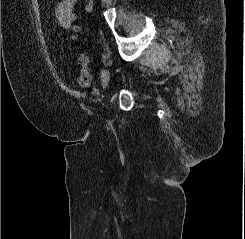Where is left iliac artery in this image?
Segmentation results:
<instances>
[{"label": "left iliac artery", "mask_w": 245, "mask_h": 239, "mask_svg": "<svg viewBox=\"0 0 245 239\" xmlns=\"http://www.w3.org/2000/svg\"><path fill=\"white\" fill-rule=\"evenodd\" d=\"M104 73H105V70L102 69V70H101V79H102V80H103V78H104Z\"/></svg>", "instance_id": "44dca946"}]
</instances>
